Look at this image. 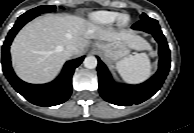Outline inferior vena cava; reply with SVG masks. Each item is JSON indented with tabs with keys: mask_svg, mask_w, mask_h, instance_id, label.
I'll return each instance as SVG.
<instances>
[{
	"mask_svg": "<svg viewBox=\"0 0 194 133\" xmlns=\"http://www.w3.org/2000/svg\"><path fill=\"white\" fill-rule=\"evenodd\" d=\"M65 54L70 57L78 53V49L75 45H67L64 49Z\"/></svg>",
	"mask_w": 194,
	"mask_h": 133,
	"instance_id": "inferior-vena-cava-1",
	"label": "inferior vena cava"
}]
</instances>
